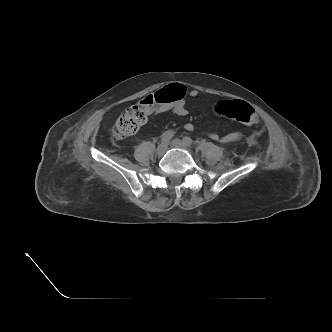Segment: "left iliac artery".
Returning <instances> with one entry per match:
<instances>
[{
    "label": "left iliac artery",
    "instance_id": "1",
    "mask_svg": "<svg viewBox=\"0 0 332 332\" xmlns=\"http://www.w3.org/2000/svg\"><path fill=\"white\" fill-rule=\"evenodd\" d=\"M183 142L185 143V144H187L188 146H190V145H192V139L191 138H189V137H184L183 138Z\"/></svg>",
    "mask_w": 332,
    "mask_h": 332
}]
</instances>
